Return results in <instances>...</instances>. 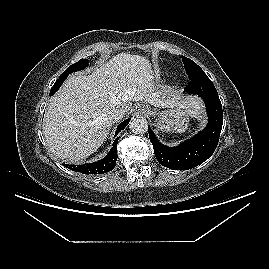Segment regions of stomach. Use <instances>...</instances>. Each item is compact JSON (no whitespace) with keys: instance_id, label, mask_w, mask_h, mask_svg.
I'll use <instances>...</instances> for the list:
<instances>
[{"instance_id":"stomach-1","label":"stomach","mask_w":269,"mask_h":269,"mask_svg":"<svg viewBox=\"0 0 269 269\" xmlns=\"http://www.w3.org/2000/svg\"><path fill=\"white\" fill-rule=\"evenodd\" d=\"M151 114H156L150 111ZM189 123V114L186 110L173 108L160 114L157 127L164 132H184Z\"/></svg>"}]
</instances>
